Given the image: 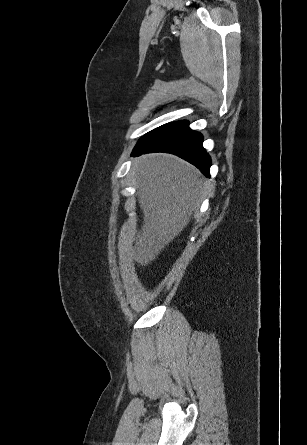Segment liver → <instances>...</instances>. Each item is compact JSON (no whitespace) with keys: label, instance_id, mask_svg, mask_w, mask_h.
I'll list each match as a JSON object with an SVG mask.
<instances>
[{"label":"liver","instance_id":"1","mask_svg":"<svg viewBox=\"0 0 307 445\" xmlns=\"http://www.w3.org/2000/svg\"><path fill=\"white\" fill-rule=\"evenodd\" d=\"M137 164L135 178L144 225L135 249L131 247L134 239L125 233L119 245L125 251L131 249V257L147 267L187 227L208 186L195 166L172 154H150L138 158Z\"/></svg>","mask_w":307,"mask_h":445}]
</instances>
